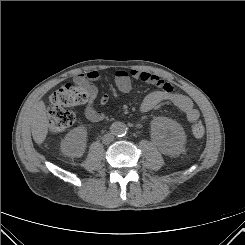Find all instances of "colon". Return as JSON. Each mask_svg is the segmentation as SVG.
<instances>
[{"instance_id": "colon-1", "label": "colon", "mask_w": 245, "mask_h": 245, "mask_svg": "<svg viewBox=\"0 0 245 245\" xmlns=\"http://www.w3.org/2000/svg\"><path fill=\"white\" fill-rule=\"evenodd\" d=\"M91 96L89 89L78 83L68 82L56 90L50 98L48 110L49 129L52 133H60L69 128L75 121V114L69 108L86 103ZM194 137L200 138L205 133L201 122L191 126Z\"/></svg>"}]
</instances>
